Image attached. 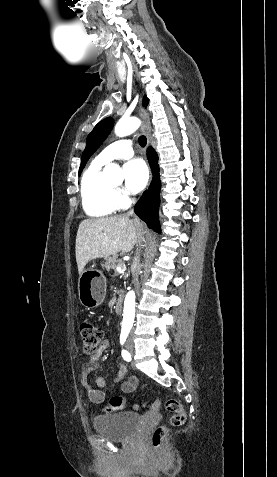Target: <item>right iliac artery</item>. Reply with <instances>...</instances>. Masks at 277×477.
<instances>
[{
    "mask_svg": "<svg viewBox=\"0 0 277 477\" xmlns=\"http://www.w3.org/2000/svg\"><path fill=\"white\" fill-rule=\"evenodd\" d=\"M128 336V331L126 330H122L121 332V336H120V343L121 345L124 344V342L126 341V338ZM122 357L124 358V360L126 361H130L131 360V355L130 353L127 351V350H122Z\"/></svg>",
    "mask_w": 277,
    "mask_h": 477,
    "instance_id": "right-iliac-artery-1",
    "label": "right iliac artery"
}]
</instances>
